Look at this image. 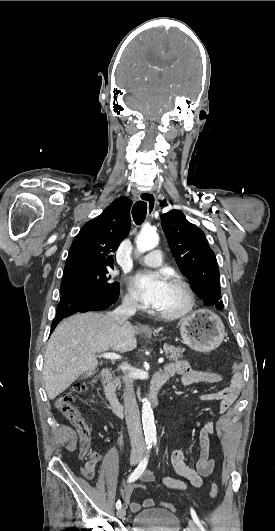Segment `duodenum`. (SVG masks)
<instances>
[{
  "label": "duodenum",
  "instance_id": "1",
  "mask_svg": "<svg viewBox=\"0 0 275 531\" xmlns=\"http://www.w3.org/2000/svg\"><path fill=\"white\" fill-rule=\"evenodd\" d=\"M113 369L112 367H104L100 373H99V382L100 385L104 391L105 397L108 401V404L110 406V409L115 414H122L123 413V405L119 401L115 389V385L113 382ZM169 375L168 373L164 372H157L151 379L150 382V392L148 395V401L152 406H155L158 404L160 399V393L161 390L165 384V382L168 380Z\"/></svg>",
  "mask_w": 275,
  "mask_h": 531
}]
</instances>
